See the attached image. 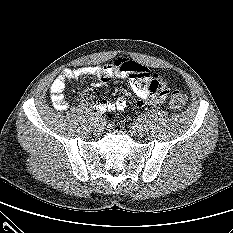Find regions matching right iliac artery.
Listing matches in <instances>:
<instances>
[{
    "label": "right iliac artery",
    "mask_w": 233,
    "mask_h": 233,
    "mask_svg": "<svg viewBox=\"0 0 233 233\" xmlns=\"http://www.w3.org/2000/svg\"><path fill=\"white\" fill-rule=\"evenodd\" d=\"M100 119H101V113L96 112V113H95V120L98 121V120H100Z\"/></svg>",
    "instance_id": "right-iliac-artery-1"
}]
</instances>
